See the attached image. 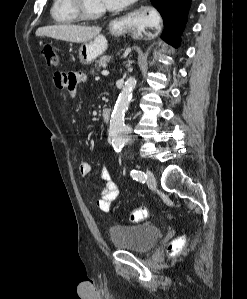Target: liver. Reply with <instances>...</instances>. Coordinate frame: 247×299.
Wrapping results in <instances>:
<instances>
[{
	"instance_id": "obj_1",
	"label": "liver",
	"mask_w": 247,
	"mask_h": 299,
	"mask_svg": "<svg viewBox=\"0 0 247 299\" xmlns=\"http://www.w3.org/2000/svg\"><path fill=\"white\" fill-rule=\"evenodd\" d=\"M100 32L101 28L96 26L52 25L38 28L36 36H47L73 43H85L99 36Z\"/></svg>"
}]
</instances>
